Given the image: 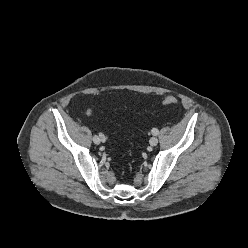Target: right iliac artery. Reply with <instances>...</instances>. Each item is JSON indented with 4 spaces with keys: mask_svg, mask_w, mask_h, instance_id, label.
Listing matches in <instances>:
<instances>
[{
    "mask_svg": "<svg viewBox=\"0 0 248 248\" xmlns=\"http://www.w3.org/2000/svg\"><path fill=\"white\" fill-rule=\"evenodd\" d=\"M93 145H99L100 141L97 139V135H92Z\"/></svg>",
    "mask_w": 248,
    "mask_h": 248,
    "instance_id": "82829eb1",
    "label": "right iliac artery"
}]
</instances>
